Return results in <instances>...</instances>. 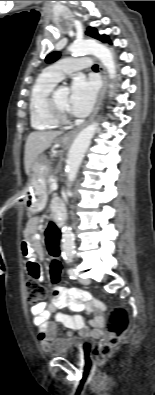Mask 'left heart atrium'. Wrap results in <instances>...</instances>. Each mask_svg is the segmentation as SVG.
Here are the masks:
<instances>
[{"label":"left heart atrium","mask_w":155,"mask_h":395,"mask_svg":"<svg viewBox=\"0 0 155 395\" xmlns=\"http://www.w3.org/2000/svg\"><path fill=\"white\" fill-rule=\"evenodd\" d=\"M97 85L94 80L77 77L71 86L68 111L77 117L86 116L95 101Z\"/></svg>","instance_id":"39dd6f15"}]
</instances>
